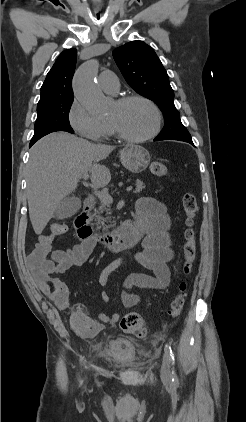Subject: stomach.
Wrapping results in <instances>:
<instances>
[{
  "label": "stomach",
  "instance_id": "1",
  "mask_svg": "<svg viewBox=\"0 0 246 422\" xmlns=\"http://www.w3.org/2000/svg\"><path fill=\"white\" fill-rule=\"evenodd\" d=\"M120 160L123 166L132 173H140L149 165L150 154L140 145L128 144L121 150Z\"/></svg>",
  "mask_w": 246,
  "mask_h": 422
}]
</instances>
